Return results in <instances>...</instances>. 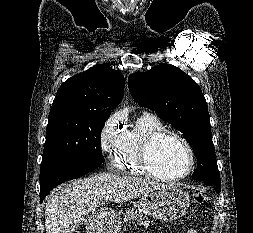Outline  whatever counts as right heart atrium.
Listing matches in <instances>:
<instances>
[{
	"label": "right heart atrium",
	"mask_w": 253,
	"mask_h": 233,
	"mask_svg": "<svg viewBox=\"0 0 253 233\" xmlns=\"http://www.w3.org/2000/svg\"><path fill=\"white\" fill-rule=\"evenodd\" d=\"M123 131V118L119 113L111 115L104 123L100 133V147L104 154L111 152Z\"/></svg>",
	"instance_id": "1"
}]
</instances>
